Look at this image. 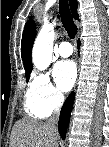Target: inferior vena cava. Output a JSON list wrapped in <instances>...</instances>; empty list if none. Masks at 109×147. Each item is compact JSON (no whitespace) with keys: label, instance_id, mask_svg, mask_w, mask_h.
I'll return each mask as SVG.
<instances>
[{"label":"inferior vena cava","instance_id":"1","mask_svg":"<svg viewBox=\"0 0 109 147\" xmlns=\"http://www.w3.org/2000/svg\"><path fill=\"white\" fill-rule=\"evenodd\" d=\"M56 100H57V106L54 109L53 115L47 120L46 123L48 124V126L51 128L53 132L58 133L57 125H58V120L60 116L61 105L64 102V96L61 94L57 95ZM56 147H58V145H56Z\"/></svg>","mask_w":109,"mask_h":147}]
</instances>
